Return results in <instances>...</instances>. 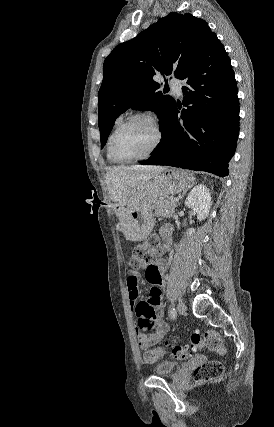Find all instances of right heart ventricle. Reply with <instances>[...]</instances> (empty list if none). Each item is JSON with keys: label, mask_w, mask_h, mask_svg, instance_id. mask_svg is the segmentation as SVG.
<instances>
[{"label": "right heart ventricle", "mask_w": 274, "mask_h": 427, "mask_svg": "<svg viewBox=\"0 0 274 427\" xmlns=\"http://www.w3.org/2000/svg\"><path fill=\"white\" fill-rule=\"evenodd\" d=\"M107 158L111 163H118L110 154L109 150H107Z\"/></svg>", "instance_id": "obj_1"}]
</instances>
